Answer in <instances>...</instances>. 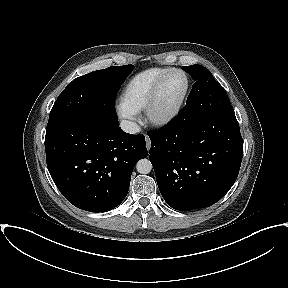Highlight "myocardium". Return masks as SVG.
<instances>
[{"mask_svg": "<svg viewBox=\"0 0 288 288\" xmlns=\"http://www.w3.org/2000/svg\"><path fill=\"white\" fill-rule=\"evenodd\" d=\"M174 72H178L183 75V77L185 78V88L178 102L174 105V107L169 112L165 114H158L156 112V107H157V103L159 100L162 86L164 82L166 81L167 77ZM189 85L190 83H189L188 75L181 68H170L165 73H163L159 77L157 82L155 83L149 102L147 106L145 107V115L147 117V120L155 126H164L168 124L170 121H172L179 114L182 108V105L188 94Z\"/></svg>", "mask_w": 288, "mask_h": 288, "instance_id": "1", "label": "myocardium"}]
</instances>
